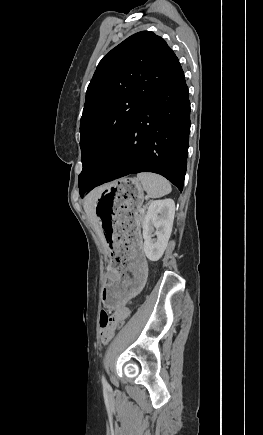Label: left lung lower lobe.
<instances>
[{
  "label": "left lung lower lobe",
  "instance_id": "1",
  "mask_svg": "<svg viewBox=\"0 0 263 435\" xmlns=\"http://www.w3.org/2000/svg\"><path fill=\"white\" fill-rule=\"evenodd\" d=\"M188 96L184 73L179 66L136 116L109 168L88 191L139 172L158 173L182 191L190 132Z\"/></svg>",
  "mask_w": 263,
  "mask_h": 435
}]
</instances>
